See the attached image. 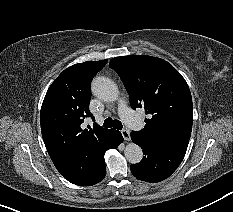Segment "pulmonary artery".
Instances as JSON below:
<instances>
[{
  "instance_id": "e3ab8cb5",
  "label": "pulmonary artery",
  "mask_w": 233,
  "mask_h": 212,
  "mask_svg": "<svg viewBox=\"0 0 233 212\" xmlns=\"http://www.w3.org/2000/svg\"><path fill=\"white\" fill-rule=\"evenodd\" d=\"M119 114L129 127L134 129L140 128V119L128 108L124 101H121L119 104Z\"/></svg>"
}]
</instances>
